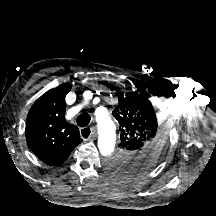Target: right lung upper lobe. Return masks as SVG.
<instances>
[{"mask_svg": "<svg viewBox=\"0 0 216 216\" xmlns=\"http://www.w3.org/2000/svg\"><path fill=\"white\" fill-rule=\"evenodd\" d=\"M70 89L69 83H63L47 91L27 115V144L42 162L50 166L64 162L82 142L78 128L65 119V96Z\"/></svg>", "mask_w": 216, "mask_h": 216, "instance_id": "right-lung-upper-lobe-1", "label": "right lung upper lobe"}]
</instances>
